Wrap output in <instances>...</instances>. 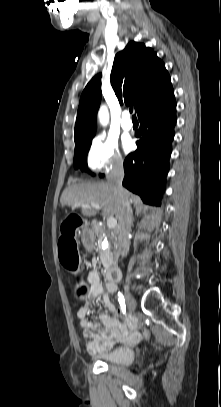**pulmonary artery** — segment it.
Returning a JSON list of instances; mask_svg holds the SVG:
<instances>
[{"instance_id":"obj_1","label":"pulmonary artery","mask_w":221,"mask_h":407,"mask_svg":"<svg viewBox=\"0 0 221 407\" xmlns=\"http://www.w3.org/2000/svg\"><path fill=\"white\" fill-rule=\"evenodd\" d=\"M121 126L126 131L131 130L133 127V123H132V120L130 118V114L128 111L123 112Z\"/></svg>"}]
</instances>
